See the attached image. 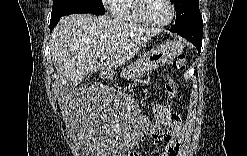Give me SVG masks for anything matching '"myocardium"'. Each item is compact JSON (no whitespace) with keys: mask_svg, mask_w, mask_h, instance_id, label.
I'll list each match as a JSON object with an SVG mask.
<instances>
[{"mask_svg":"<svg viewBox=\"0 0 247 156\" xmlns=\"http://www.w3.org/2000/svg\"><path fill=\"white\" fill-rule=\"evenodd\" d=\"M164 1L167 3V5L169 6V9H170V15H169L168 19L165 21H153V20L149 19L148 17L145 16V14L143 12V3L145 1H143V0L135 1L134 9H135V12H136L138 18L141 20V22L148 25V26H151V27H164V26L169 25L175 17V7L170 0H164Z\"/></svg>","mask_w":247,"mask_h":156,"instance_id":"f54148a6","label":"myocardium"}]
</instances>
